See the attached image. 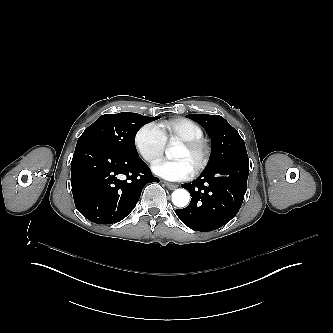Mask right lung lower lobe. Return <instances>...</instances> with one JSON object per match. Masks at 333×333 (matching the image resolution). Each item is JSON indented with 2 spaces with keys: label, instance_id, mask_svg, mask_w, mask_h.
Wrapping results in <instances>:
<instances>
[{
  "label": "right lung lower lobe",
  "instance_id": "98d812e1",
  "mask_svg": "<svg viewBox=\"0 0 333 333\" xmlns=\"http://www.w3.org/2000/svg\"><path fill=\"white\" fill-rule=\"evenodd\" d=\"M149 182L159 179L139 157L117 154L98 142L77 143L71 162L72 193L76 208L90 221L123 220Z\"/></svg>",
  "mask_w": 333,
  "mask_h": 333
}]
</instances>
